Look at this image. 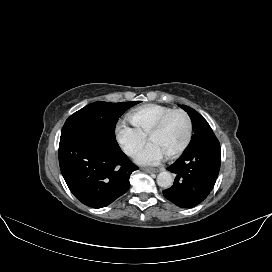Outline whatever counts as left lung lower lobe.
Instances as JSON below:
<instances>
[{"label":"left lung lower lobe","mask_w":272,"mask_h":272,"mask_svg":"<svg viewBox=\"0 0 272 272\" xmlns=\"http://www.w3.org/2000/svg\"><path fill=\"white\" fill-rule=\"evenodd\" d=\"M220 164L221 150L217 138L186 149L168 168L176 178L173 186L163 191L164 197L181 208L200 204L212 190Z\"/></svg>","instance_id":"1"}]
</instances>
